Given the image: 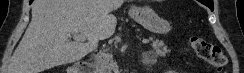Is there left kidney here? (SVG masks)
<instances>
[{"instance_id": "1", "label": "left kidney", "mask_w": 244, "mask_h": 73, "mask_svg": "<svg viewBox=\"0 0 244 73\" xmlns=\"http://www.w3.org/2000/svg\"><path fill=\"white\" fill-rule=\"evenodd\" d=\"M176 71H169V73H175Z\"/></svg>"}]
</instances>
